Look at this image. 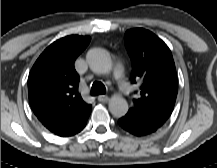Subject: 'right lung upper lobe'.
Wrapping results in <instances>:
<instances>
[{
  "label": "right lung upper lobe",
  "mask_w": 217,
  "mask_h": 168,
  "mask_svg": "<svg viewBox=\"0 0 217 168\" xmlns=\"http://www.w3.org/2000/svg\"><path fill=\"white\" fill-rule=\"evenodd\" d=\"M88 36L70 35L53 42L36 60L28 78L31 108L52 133L67 137L80 131L91 105L78 92L76 58L90 42Z\"/></svg>",
  "instance_id": "1"
}]
</instances>
